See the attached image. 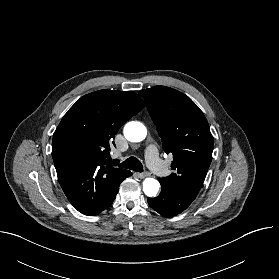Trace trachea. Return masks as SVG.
I'll return each mask as SVG.
<instances>
[{
  "label": "trachea",
  "mask_w": 279,
  "mask_h": 279,
  "mask_svg": "<svg viewBox=\"0 0 279 279\" xmlns=\"http://www.w3.org/2000/svg\"><path fill=\"white\" fill-rule=\"evenodd\" d=\"M119 167L130 169L136 172H143V165L136 157H130L119 164Z\"/></svg>",
  "instance_id": "obj_1"
}]
</instances>
